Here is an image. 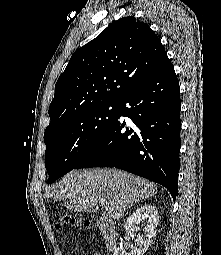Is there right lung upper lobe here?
Instances as JSON below:
<instances>
[{
	"mask_svg": "<svg viewBox=\"0 0 221 255\" xmlns=\"http://www.w3.org/2000/svg\"><path fill=\"white\" fill-rule=\"evenodd\" d=\"M165 58V48L146 23L132 16L115 21L72 55L55 85L45 131L81 109L119 103Z\"/></svg>",
	"mask_w": 221,
	"mask_h": 255,
	"instance_id": "cb5924a9",
	"label": "right lung upper lobe"
}]
</instances>
